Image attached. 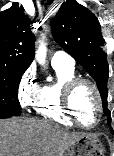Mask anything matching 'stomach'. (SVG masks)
<instances>
[{
    "label": "stomach",
    "mask_w": 114,
    "mask_h": 156,
    "mask_svg": "<svg viewBox=\"0 0 114 156\" xmlns=\"http://www.w3.org/2000/svg\"><path fill=\"white\" fill-rule=\"evenodd\" d=\"M62 156H105V148L98 137L84 134L73 141Z\"/></svg>",
    "instance_id": "stomach-1"
}]
</instances>
